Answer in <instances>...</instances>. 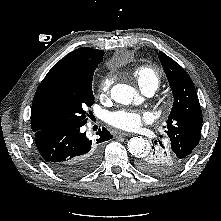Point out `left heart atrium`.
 <instances>
[{"label": "left heart atrium", "mask_w": 221, "mask_h": 221, "mask_svg": "<svg viewBox=\"0 0 221 221\" xmlns=\"http://www.w3.org/2000/svg\"><path fill=\"white\" fill-rule=\"evenodd\" d=\"M149 120L147 113H142L131 109H121L107 113L106 122L118 129L133 131L144 121Z\"/></svg>", "instance_id": "39dd6f15"}]
</instances>
